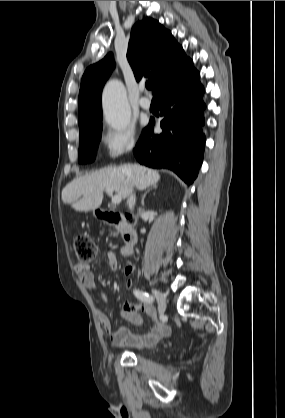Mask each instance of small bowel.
Masks as SVG:
<instances>
[{"label": "small bowel", "mask_w": 285, "mask_h": 418, "mask_svg": "<svg viewBox=\"0 0 285 418\" xmlns=\"http://www.w3.org/2000/svg\"><path fill=\"white\" fill-rule=\"evenodd\" d=\"M106 261L110 269L114 270L118 268L119 260L113 251L107 252ZM75 271L87 289L95 290L96 286L94 278L89 271L88 263H77L75 265ZM134 271L135 265L133 264L126 265L123 269V274L127 278V287L132 286V280L130 277L133 275ZM103 299L106 300V297L104 296ZM140 310L149 320H153L154 310L147 303L125 302L118 308L120 314L135 322H140V316L138 315ZM100 321L106 334L111 337L113 344L116 346L136 348L147 347L155 344L170 333V328L168 326L158 323L151 329L148 335L137 336L134 335L124 324L115 326L112 320L103 313L100 314Z\"/></svg>", "instance_id": "1"}]
</instances>
